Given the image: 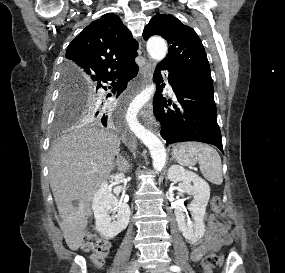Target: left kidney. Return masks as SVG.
<instances>
[{"mask_svg":"<svg viewBox=\"0 0 285 273\" xmlns=\"http://www.w3.org/2000/svg\"><path fill=\"white\" fill-rule=\"evenodd\" d=\"M168 179L171 182H182L183 190L193 196L190 204L193 222L185 219L183 209L177 207L174 211L178 227L186 240L196 243L205 232L204 216L210 199V187L207 182L195 173L185 170L182 166L172 165L168 170Z\"/></svg>","mask_w":285,"mask_h":273,"instance_id":"obj_1","label":"left kidney"}]
</instances>
